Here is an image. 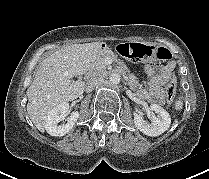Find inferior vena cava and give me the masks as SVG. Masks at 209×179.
Returning <instances> with one entry per match:
<instances>
[{
    "label": "inferior vena cava",
    "instance_id": "inferior-vena-cava-1",
    "mask_svg": "<svg viewBox=\"0 0 209 179\" xmlns=\"http://www.w3.org/2000/svg\"><path fill=\"white\" fill-rule=\"evenodd\" d=\"M104 80L102 78H93L86 83L85 91L87 93L91 92L95 87L102 85Z\"/></svg>",
    "mask_w": 209,
    "mask_h": 179
}]
</instances>
